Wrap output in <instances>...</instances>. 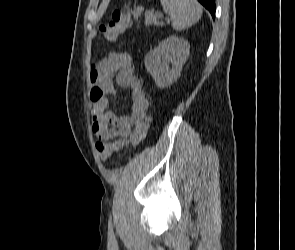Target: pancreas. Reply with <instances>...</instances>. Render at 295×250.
<instances>
[{
  "label": "pancreas",
  "mask_w": 295,
  "mask_h": 250,
  "mask_svg": "<svg viewBox=\"0 0 295 250\" xmlns=\"http://www.w3.org/2000/svg\"><path fill=\"white\" fill-rule=\"evenodd\" d=\"M157 24L155 15L153 11H148L145 13V25Z\"/></svg>",
  "instance_id": "1"
}]
</instances>
